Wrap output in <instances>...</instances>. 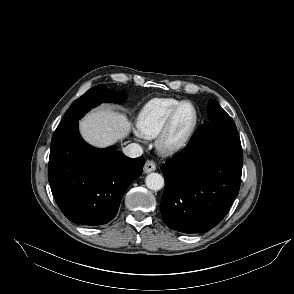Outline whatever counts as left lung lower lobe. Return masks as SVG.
Segmentation results:
<instances>
[{"instance_id": "obj_1", "label": "left lung lower lobe", "mask_w": 294, "mask_h": 294, "mask_svg": "<svg viewBox=\"0 0 294 294\" xmlns=\"http://www.w3.org/2000/svg\"><path fill=\"white\" fill-rule=\"evenodd\" d=\"M243 164L233 121H209L189 144L161 167L165 190L160 203L167 226L184 233L215 227L238 195Z\"/></svg>"}]
</instances>
